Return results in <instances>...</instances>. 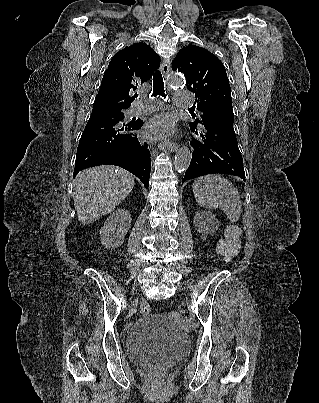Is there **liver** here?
I'll return each instance as SVG.
<instances>
[{
    "label": "liver",
    "instance_id": "1",
    "mask_svg": "<svg viewBox=\"0 0 319 403\" xmlns=\"http://www.w3.org/2000/svg\"><path fill=\"white\" fill-rule=\"evenodd\" d=\"M134 187L132 174L115 166H99L76 178L74 207L78 220L89 224L110 213Z\"/></svg>",
    "mask_w": 319,
    "mask_h": 403
}]
</instances>
